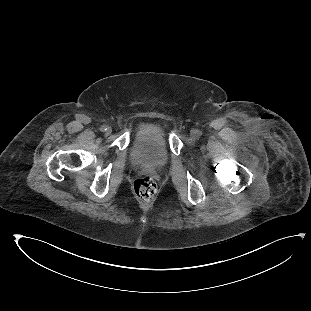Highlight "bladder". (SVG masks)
I'll use <instances>...</instances> for the list:
<instances>
[{"label":"bladder","mask_w":311,"mask_h":311,"mask_svg":"<svg viewBox=\"0 0 311 311\" xmlns=\"http://www.w3.org/2000/svg\"><path fill=\"white\" fill-rule=\"evenodd\" d=\"M129 161L146 170H160L168 165L171 149L166 131L154 124L146 125L130 146Z\"/></svg>","instance_id":"31cf9c89"}]
</instances>
